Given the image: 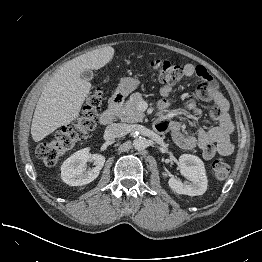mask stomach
<instances>
[{"label":"stomach","mask_w":262,"mask_h":262,"mask_svg":"<svg viewBox=\"0 0 262 262\" xmlns=\"http://www.w3.org/2000/svg\"><path fill=\"white\" fill-rule=\"evenodd\" d=\"M140 81L137 78H132V77H124L121 78L120 83L117 87V92L123 96L126 97L128 96L132 91L137 89L139 86Z\"/></svg>","instance_id":"stomach-1"}]
</instances>
